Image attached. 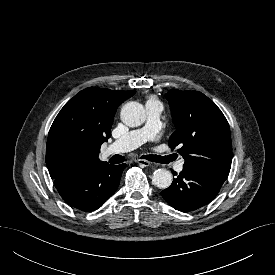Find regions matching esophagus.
<instances>
[{
	"mask_svg": "<svg viewBox=\"0 0 275 275\" xmlns=\"http://www.w3.org/2000/svg\"><path fill=\"white\" fill-rule=\"evenodd\" d=\"M137 163H138L139 165H141V166H144V167H148V166H150V164H151L149 161L144 160V159H138V160H137Z\"/></svg>",
	"mask_w": 275,
	"mask_h": 275,
	"instance_id": "esophagus-1",
	"label": "esophagus"
}]
</instances>
